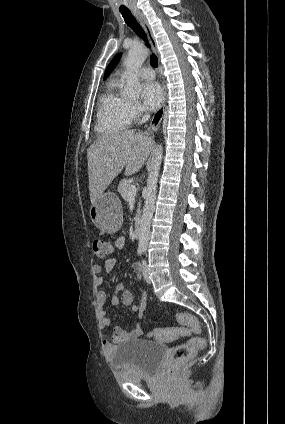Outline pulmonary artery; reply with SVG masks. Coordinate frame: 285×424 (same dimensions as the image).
Returning a JSON list of instances; mask_svg holds the SVG:
<instances>
[{
	"instance_id": "e3ab8cb5",
	"label": "pulmonary artery",
	"mask_w": 285,
	"mask_h": 424,
	"mask_svg": "<svg viewBox=\"0 0 285 424\" xmlns=\"http://www.w3.org/2000/svg\"><path fill=\"white\" fill-rule=\"evenodd\" d=\"M140 76L146 80H152L155 77V72L150 67H143L139 71Z\"/></svg>"
}]
</instances>
